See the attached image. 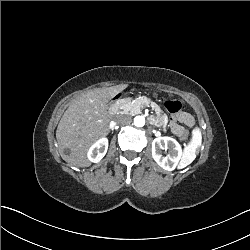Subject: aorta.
Masks as SVG:
<instances>
[{"label": "aorta", "mask_w": 250, "mask_h": 250, "mask_svg": "<svg viewBox=\"0 0 250 250\" xmlns=\"http://www.w3.org/2000/svg\"><path fill=\"white\" fill-rule=\"evenodd\" d=\"M134 125L136 127H143L145 125V117L144 116H136L134 118Z\"/></svg>", "instance_id": "aorta-1"}]
</instances>
